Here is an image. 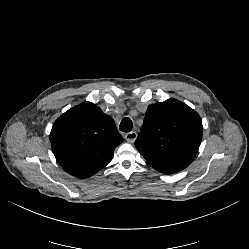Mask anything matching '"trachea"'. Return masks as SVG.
<instances>
[{
  "instance_id": "trachea-1",
  "label": "trachea",
  "mask_w": 249,
  "mask_h": 249,
  "mask_svg": "<svg viewBox=\"0 0 249 249\" xmlns=\"http://www.w3.org/2000/svg\"><path fill=\"white\" fill-rule=\"evenodd\" d=\"M120 130L123 132H130L132 130V121L129 117H124L120 124Z\"/></svg>"
}]
</instances>
